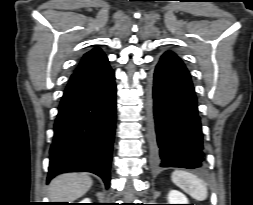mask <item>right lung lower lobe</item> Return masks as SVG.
<instances>
[{
  "instance_id": "1",
  "label": "right lung lower lobe",
  "mask_w": 253,
  "mask_h": 205,
  "mask_svg": "<svg viewBox=\"0 0 253 205\" xmlns=\"http://www.w3.org/2000/svg\"><path fill=\"white\" fill-rule=\"evenodd\" d=\"M115 75L108 59L72 74L54 124L47 180L91 172L110 184L116 122Z\"/></svg>"
}]
</instances>
